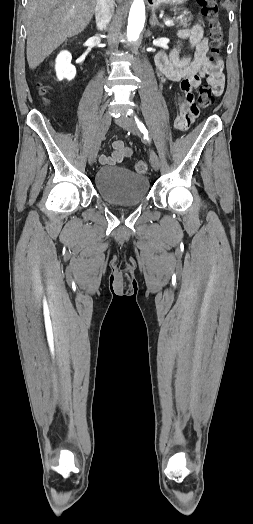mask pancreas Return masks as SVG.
<instances>
[{"label": "pancreas", "mask_w": 253, "mask_h": 524, "mask_svg": "<svg viewBox=\"0 0 253 524\" xmlns=\"http://www.w3.org/2000/svg\"><path fill=\"white\" fill-rule=\"evenodd\" d=\"M174 12H177L176 9H173ZM177 27H187L189 26L190 24V21L192 20V16H187V13H184V14H180L177 18Z\"/></svg>", "instance_id": "1"}]
</instances>
